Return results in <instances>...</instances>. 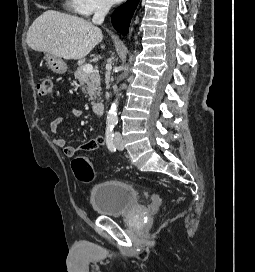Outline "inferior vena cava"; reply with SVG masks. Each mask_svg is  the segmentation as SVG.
<instances>
[{
    "label": "inferior vena cava",
    "mask_w": 255,
    "mask_h": 272,
    "mask_svg": "<svg viewBox=\"0 0 255 272\" xmlns=\"http://www.w3.org/2000/svg\"><path fill=\"white\" fill-rule=\"evenodd\" d=\"M110 8L111 3L109 0H101L96 7L92 22L95 24H102Z\"/></svg>",
    "instance_id": "obj_1"
}]
</instances>
